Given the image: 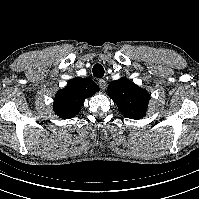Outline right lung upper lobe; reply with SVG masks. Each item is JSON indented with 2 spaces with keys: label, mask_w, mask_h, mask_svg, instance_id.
I'll list each match as a JSON object with an SVG mask.
<instances>
[{
  "label": "right lung upper lobe",
  "mask_w": 199,
  "mask_h": 199,
  "mask_svg": "<svg viewBox=\"0 0 199 199\" xmlns=\"http://www.w3.org/2000/svg\"><path fill=\"white\" fill-rule=\"evenodd\" d=\"M98 85L89 78L76 77L58 91L54 100V111L63 119L76 116L86 98L98 91Z\"/></svg>",
  "instance_id": "1"
}]
</instances>
